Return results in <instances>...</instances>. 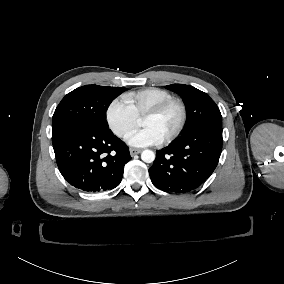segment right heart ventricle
Masks as SVG:
<instances>
[{
	"mask_svg": "<svg viewBox=\"0 0 284 284\" xmlns=\"http://www.w3.org/2000/svg\"><path fill=\"white\" fill-rule=\"evenodd\" d=\"M174 98L173 94L159 87H145L123 96V102L139 117L157 105Z\"/></svg>",
	"mask_w": 284,
	"mask_h": 284,
	"instance_id": "e07e8e85",
	"label": "right heart ventricle"
}]
</instances>
